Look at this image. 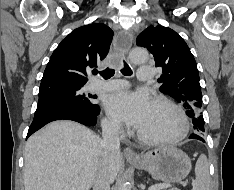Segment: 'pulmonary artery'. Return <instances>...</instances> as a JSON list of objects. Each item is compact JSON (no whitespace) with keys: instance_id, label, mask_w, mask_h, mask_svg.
<instances>
[{"instance_id":"pulmonary-artery-1","label":"pulmonary artery","mask_w":234,"mask_h":190,"mask_svg":"<svg viewBox=\"0 0 234 190\" xmlns=\"http://www.w3.org/2000/svg\"><path fill=\"white\" fill-rule=\"evenodd\" d=\"M138 80L141 82L149 81L153 77L151 66H141L138 69ZM127 86L125 81L114 79L110 81H97L91 85L93 91H114Z\"/></svg>"}]
</instances>
